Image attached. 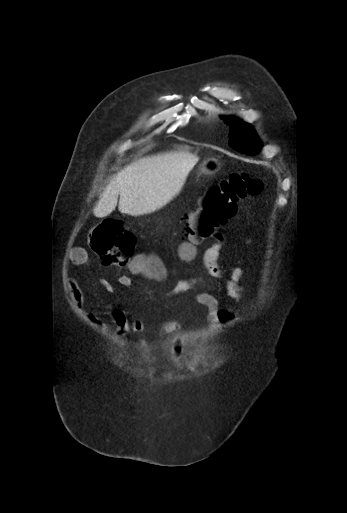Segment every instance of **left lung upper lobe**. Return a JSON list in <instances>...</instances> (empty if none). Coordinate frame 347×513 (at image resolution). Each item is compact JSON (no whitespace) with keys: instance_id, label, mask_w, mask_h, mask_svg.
Instances as JSON below:
<instances>
[{"instance_id":"obj_1","label":"left lung upper lobe","mask_w":347,"mask_h":513,"mask_svg":"<svg viewBox=\"0 0 347 513\" xmlns=\"http://www.w3.org/2000/svg\"><path fill=\"white\" fill-rule=\"evenodd\" d=\"M224 120L230 126V144L237 151L253 155L260 150L261 143L251 125L231 118Z\"/></svg>"}]
</instances>
